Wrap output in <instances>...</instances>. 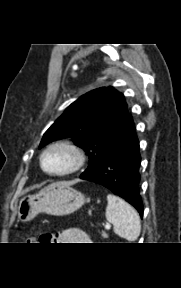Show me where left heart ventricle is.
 <instances>
[{
	"instance_id": "left-heart-ventricle-1",
	"label": "left heart ventricle",
	"mask_w": 181,
	"mask_h": 288,
	"mask_svg": "<svg viewBox=\"0 0 181 288\" xmlns=\"http://www.w3.org/2000/svg\"><path fill=\"white\" fill-rule=\"evenodd\" d=\"M72 162V155L63 149L51 150L44 159L45 168L50 172L66 170L72 165Z\"/></svg>"
}]
</instances>
